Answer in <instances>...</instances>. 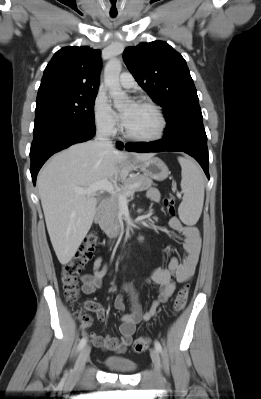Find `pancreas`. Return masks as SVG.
I'll list each match as a JSON object with an SVG mask.
<instances>
[{
    "label": "pancreas",
    "instance_id": "cf45deb5",
    "mask_svg": "<svg viewBox=\"0 0 261 399\" xmlns=\"http://www.w3.org/2000/svg\"><path fill=\"white\" fill-rule=\"evenodd\" d=\"M153 185V181L145 175H134L126 179L120 190L112 195L104 210L100 227L109 238L117 237L123 232V217L120 212L118 196L127 192L144 191Z\"/></svg>",
    "mask_w": 261,
    "mask_h": 399
}]
</instances>
